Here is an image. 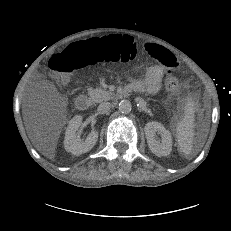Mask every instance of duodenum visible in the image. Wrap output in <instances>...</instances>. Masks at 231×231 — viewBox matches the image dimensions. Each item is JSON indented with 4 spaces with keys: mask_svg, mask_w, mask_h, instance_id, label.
Returning a JSON list of instances; mask_svg holds the SVG:
<instances>
[{
    "mask_svg": "<svg viewBox=\"0 0 231 231\" xmlns=\"http://www.w3.org/2000/svg\"><path fill=\"white\" fill-rule=\"evenodd\" d=\"M129 89L131 88L129 87ZM129 89L125 88L123 91L117 93L116 97L119 99L126 97L130 93ZM91 102V98L87 95H80L76 98L75 101L76 107L82 111L87 110L91 106Z\"/></svg>",
    "mask_w": 231,
    "mask_h": 231,
    "instance_id": "obj_1",
    "label": "duodenum"
}]
</instances>
